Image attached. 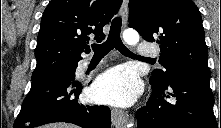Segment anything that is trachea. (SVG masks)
<instances>
[{"label": "trachea", "mask_w": 221, "mask_h": 128, "mask_svg": "<svg viewBox=\"0 0 221 128\" xmlns=\"http://www.w3.org/2000/svg\"><path fill=\"white\" fill-rule=\"evenodd\" d=\"M122 20L120 17H115L111 23L110 32L108 38L105 42L97 44H92V49L94 51V57L105 56L112 49H117L120 53L130 57H136V54L132 53L123 44L120 32H121Z\"/></svg>", "instance_id": "1"}]
</instances>
